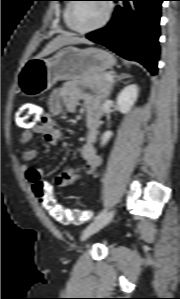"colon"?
I'll use <instances>...</instances> for the list:
<instances>
[{"label":"colon","instance_id":"1","mask_svg":"<svg viewBox=\"0 0 180 299\" xmlns=\"http://www.w3.org/2000/svg\"><path fill=\"white\" fill-rule=\"evenodd\" d=\"M44 118L43 110L39 106L20 108L17 111L18 126L31 128L39 124ZM33 192L39 203L50 215L62 223L80 224L90 218V211L84 209H69L59 205L55 200L53 188L48 183L33 184Z\"/></svg>","mask_w":180,"mask_h":299}]
</instances>
